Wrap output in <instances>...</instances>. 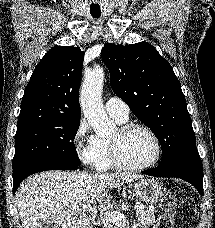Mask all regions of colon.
Returning a JSON list of instances; mask_svg holds the SVG:
<instances>
[{
  "mask_svg": "<svg viewBox=\"0 0 215 228\" xmlns=\"http://www.w3.org/2000/svg\"><path fill=\"white\" fill-rule=\"evenodd\" d=\"M177 203L175 198L171 195H168L164 198L160 215L157 219V228H174L175 227V218L174 214L176 213Z\"/></svg>",
  "mask_w": 215,
  "mask_h": 228,
  "instance_id": "obj_1",
  "label": "colon"
}]
</instances>
